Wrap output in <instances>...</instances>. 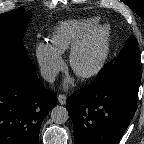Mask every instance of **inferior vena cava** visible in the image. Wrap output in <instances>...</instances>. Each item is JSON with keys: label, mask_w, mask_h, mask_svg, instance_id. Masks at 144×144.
Segmentation results:
<instances>
[{"label": "inferior vena cava", "mask_w": 144, "mask_h": 144, "mask_svg": "<svg viewBox=\"0 0 144 144\" xmlns=\"http://www.w3.org/2000/svg\"><path fill=\"white\" fill-rule=\"evenodd\" d=\"M58 71L55 69H45L41 72L42 77L48 82H54Z\"/></svg>", "instance_id": "inferior-vena-cava-1"}]
</instances>
